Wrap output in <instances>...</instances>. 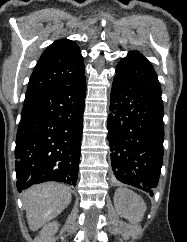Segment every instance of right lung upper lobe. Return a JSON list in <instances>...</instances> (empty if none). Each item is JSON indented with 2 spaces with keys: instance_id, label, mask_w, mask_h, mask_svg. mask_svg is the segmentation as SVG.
I'll use <instances>...</instances> for the list:
<instances>
[{
  "instance_id": "1",
  "label": "right lung upper lobe",
  "mask_w": 187,
  "mask_h": 242,
  "mask_svg": "<svg viewBox=\"0 0 187 242\" xmlns=\"http://www.w3.org/2000/svg\"><path fill=\"white\" fill-rule=\"evenodd\" d=\"M84 73L79 47L72 40L60 39L49 45L41 55L30 77L26 96L69 85Z\"/></svg>"
}]
</instances>
